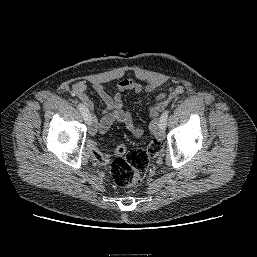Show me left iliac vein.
Wrapping results in <instances>:
<instances>
[{"mask_svg":"<svg viewBox=\"0 0 257 257\" xmlns=\"http://www.w3.org/2000/svg\"><path fill=\"white\" fill-rule=\"evenodd\" d=\"M164 129L165 128H163V127H160V126L158 127L157 132H156V135L158 138H160V139L164 138V136H165Z\"/></svg>","mask_w":257,"mask_h":257,"instance_id":"4c4485c4","label":"left iliac vein"}]
</instances>
